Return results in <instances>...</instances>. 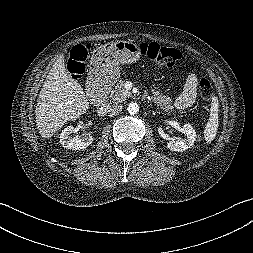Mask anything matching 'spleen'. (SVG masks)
Instances as JSON below:
<instances>
[{
	"instance_id": "1",
	"label": "spleen",
	"mask_w": 253,
	"mask_h": 253,
	"mask_svg": "<svg viewBox=\"0 0 253 253\" xmlns=\"http://www.w3.org/2000/svg\"><path fill=\"white\" fill-rule=\"evenodd\" d=\"M218 111H219L218 98L216 96H213L210 107V115H209L210 117L208 122L206 123L203 132L207 144L211 143L217 135V130L219 126Z\"/></svg>"
}]
</instances>
